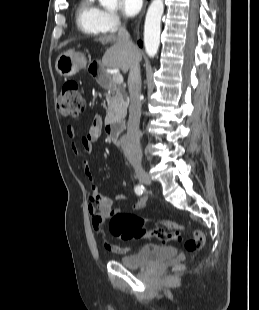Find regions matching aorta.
Returning a JSON list of instances; mask_svg holds the SVG:
<instances>
[{"label":"aorta","mask_w":259,"mask_h":310,"mask_svg":"<svg viewBox=\"0 0 259 310\" xmlns=\"http://www.w3.org/2000/svg\"><path fill=\"white\" fill-rule=\"evenodd\" d=\"M109 10L117 7L118 0H99ZM164 12L163 0H153L146 15L144 26V44L149 57H154L160 45L161 18Z\"/></svg>","instance_id":"obj_1"}]
</instances>
